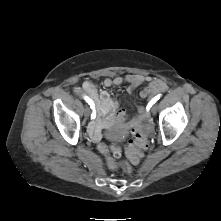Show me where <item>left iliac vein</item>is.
<instances>
[{
	"label": "left iliac vein",
	"instance_id": "1",
	"mask_svg": "<svg viewBox=\"0 0 221 221\" xmlns=\"http://www.w3.org/2000/svg\"><path fill=\"white\" fill-rule=\"evenodd\" d=\"M156 110H157V107H156V106H153V107H152V113L155 114V113H156Z\"/></svg>",
	"mask_w": 221,
	"mask_h": 221
}]
</instances>
